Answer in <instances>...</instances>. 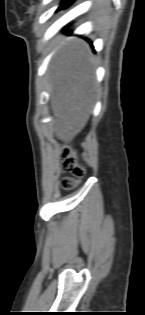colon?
Instances as JSON below:
<instances>
[{
	"mask_svg": "<svg viewBox=\"0 0 145 315\" xmlns=\"http://www.w3.org/2000/svg\"><path fill=\"white\" fill-rule=\"evenodd\" d=\"M62 159L66 169L71 173V176L64 178L61 183L62 188L68 191L75 187L77 179L83 177L85 168L78 163L75 152L70 148L63 150Z\"/></svg>",
	"mask_w": 145,
	"mask_h": 315,
	"instance_id": "1",
	"label": "colon"
}]
</instances>
